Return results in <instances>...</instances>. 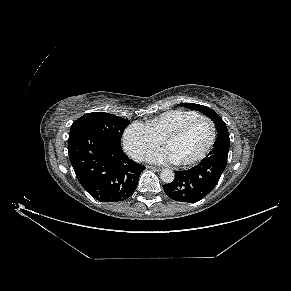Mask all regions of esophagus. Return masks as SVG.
<instances>
[{
    "label": "esophagus",
    "mask_w": 291,
    "mask_h": 291,
    "mask_svg": "<svg viewBox=\"0 0 291 291\" xmlns=\"http://www.w3.org/2000/svg\"><path fill=\"white\" fill-rule=\"evenodd\" d=\"M148 169L154 170V171H161L160 167H155V166H148Z\"/></svg>",
    "instance_id": "1"
}]
</instances>
